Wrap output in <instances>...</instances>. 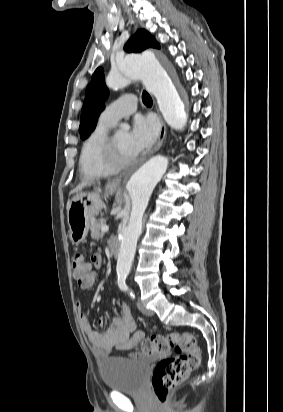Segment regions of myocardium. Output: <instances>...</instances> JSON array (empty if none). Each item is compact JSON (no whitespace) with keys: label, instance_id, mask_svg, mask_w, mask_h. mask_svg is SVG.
<instances>
[{"label":"myocardium","instance_id":"myocardium-1","mask_svg":"<svg viewBox=\"0 0 283 412\" xmlns=\"http://www.w3.org/2000/svg\"><path fill=\"white\" fill-rule=\"evenodd\" d=\"M136 159L137 155L129 159H122L119 154V149L116 141V134H113L108 137L104 149V160L109 167L117 171L133 164L136 161Z\"/></svg>","mask_w":283,"mask_h":412}]
</instances>
